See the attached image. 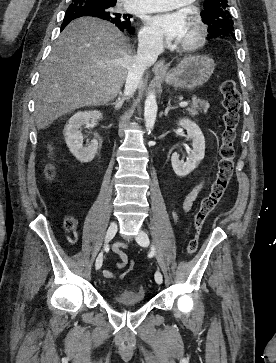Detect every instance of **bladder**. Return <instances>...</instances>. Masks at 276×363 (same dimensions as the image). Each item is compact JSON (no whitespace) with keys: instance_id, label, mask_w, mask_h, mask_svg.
Wrapping results in <instances>:
<instances>
[{"instance_id":"obj_1","label":"bladder","mask_w":276,"mask_h":363,"mask_svg":"<svg viewBox=\"0 0 276 363\" xmlns=\"http://www.w3.org/2000/svg\"><path fill=\"white\" fill-rule=\"evenodd\" d=\"M144 294L141 290H123L113 297V302L123 306L140 305L144 302Z\"/></svg>"}]
</instances>
